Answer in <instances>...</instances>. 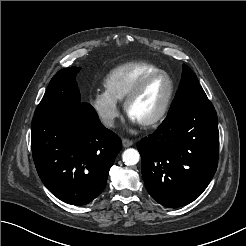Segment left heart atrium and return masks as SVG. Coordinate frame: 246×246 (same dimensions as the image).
I'll return each mask as SVG.
<instances>
[{
    "mask_svg": "<svg viewBox=\"0 0 246 246\" xmlns=\"http://www.w3.org/2000/svg\"><path fill=\"white\" fill-rule=\"evenodd\" d=\"M130 120L132 123H138L134 118H132L131 116H129Z\"/></svg>",
    "mask_w": 246,
    "mask_h": 246,
    "instance_id": "left-heart-atrium-1",
    "label": "left heart atrium"
}]
</instances>
